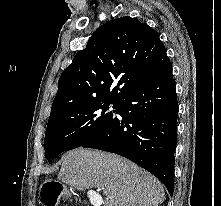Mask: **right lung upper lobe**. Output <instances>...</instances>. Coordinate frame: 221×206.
<instances>
[{
  "mask_svg": "<svg viewBox=\"0 0 221 206\" xmlns=\"http://www.w3.org/2000/svg\"><path fill=\"white\" fill-rule=\"evenodd\" d=\"M169 63L158 33L146 23L128 16L109 21L61 74L50 116L86 104H119Z\"/></svg>",
  "mask_w": 221,
  "mask_h": 206,
  "instance_id": "1",
  "label": "right lung upper lobe"
}]
</instances>
